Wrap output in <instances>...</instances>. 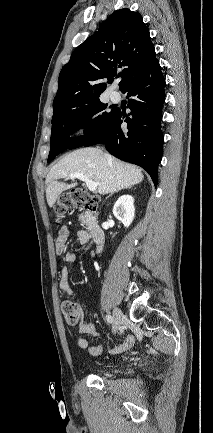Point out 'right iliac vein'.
<instances>
[{"label":"right iliac vein","mask_w":213,"mask_h":433,"mask_svg":"<svg viewBox=\"0 0 213 433\" xmlns=\"http://www.w3.org/2000/svg\"><path fill=\"white\" fill-rule=\"evenodd\" d=\"M124 315L122 311L119 308H114L113 310V323H114V330L117 331L118 328L121 326L123 321Z\"/></svg>","instance_id":"1"}]
</instances>
